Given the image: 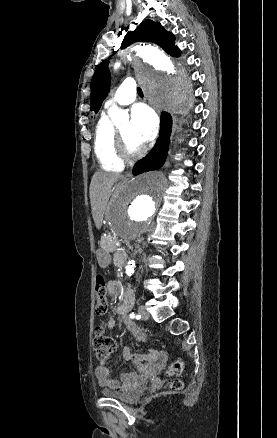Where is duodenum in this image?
<instances>
[{
	"label": "duodenum",
	"instance_id": "duodenum-1",
	"mask_svg": "<svg viewBox=\"0 0 277 438\" xmlns=\"http://www.w3.org/2000/svg\"><path fill=\"white\" fill-rule=\"evenodd\" d=\"M127 260V254L124 251H119L115 255V264L117 266H123Z\"/></svg>",
	"mask_w": 277,
	"mask_h": 438
}]
</instances>
